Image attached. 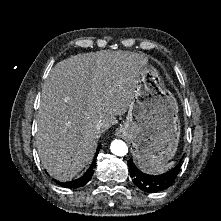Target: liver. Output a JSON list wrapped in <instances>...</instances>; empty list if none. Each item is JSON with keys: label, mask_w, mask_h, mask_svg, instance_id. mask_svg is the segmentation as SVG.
Segmentation results:
<instances>
[{"label": "liver", "mask_w": 221, "mask_h": 221, "mask_svg": "<svg viewBox=\"0 0 221 221\" xmlns=\"http://www.w3.org/2000/svg\"><path fill=\"white\" fill-rule=\"evenodd\" d=\"M143 53L98 51L58 62L42 86L36 146L50 176L69 181L89 163L96 138L117 123L135 94ZM103 127L95 129L97 122Z\"/></svg>", "instance_id": "liver-1"}]
</instances>
